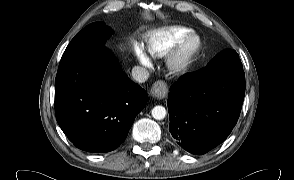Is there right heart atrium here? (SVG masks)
Returning a JSON list of instances; mask_svg holds the SVG:
<instances>
[{"mask_svg":"<svg viewBox=\"0 0 294 180\" xmlns=\"http://www.w3.org/2000/svg\"><path fill=\"white\" fill-rule=\"evenodd\" d=\"M132 52L134 56L137 58V60L143 65V66H149L151 63V60L149 56L137 45H133Z\"/></svg>","mask_w":294,"mask_h":180,"instance_id":"right-heart-atrium-1","label":"right heart atrium"}]
</instances>
